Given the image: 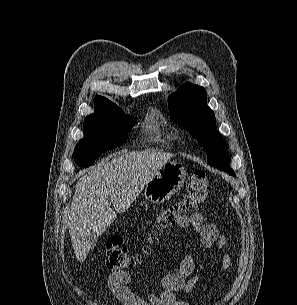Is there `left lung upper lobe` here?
Instances as JSON below:
<instances>
[{
  "label": "left lung upper lobe",
  "mask_w": 297,
  "mask_h": 305,
  "mask_svg": "<svg viewBox=\"0 0 297 305\" xmlns=\"http://www.w3.org/2000/svg\"><path fill=\"white\" fill-rule=\"evenodd\" d=\"M203 87L186 84L169 97L171 121L187 129L207 151V162L235 175L229 168L231 158L223 137L216 129L213 111L206 104Z\"/></svg>",
  "instance_id": "5c2ea615"
}]
</instances>
